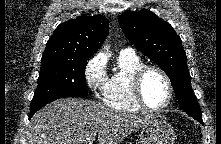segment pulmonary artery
Masks as SVG:
<instances>
[{
    "mask_svg": "<svg viewBox=\"0 0 221 144\" xmlns=\"http://www.w3.org/2000/svg\"><path fill=\"white\" fill-rule=\"evenodd\" d=\"M120 54L124 55H135V52L132 48H124L120 51Z\"/></svg>",
    "mask_w": 221,
    "mask_h": 144,
    "instance_id": "pulmonary-artery-1",
    "label": "pulmonary artery"
}]
</instances>
